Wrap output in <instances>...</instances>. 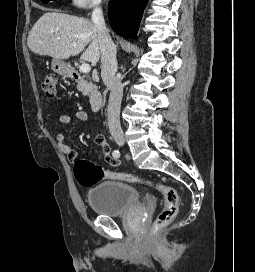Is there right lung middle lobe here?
<instances>
[{
	"instance_id": "obj_1",
	"label": "right lung middle lobe",
	"mask_w": 255,
	"mask_h": 272,
	"mask_svg": "<svg viewBox=\"0 0 255 272\" xmlns=\"http://www.w3.org/2000/svg\"><path fill=\"white\" fill-rule=\"evenodd\" d=\"M49 1H51V0H42L43 3H48Z\"/></svg>"
}]
</instances>
